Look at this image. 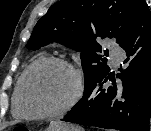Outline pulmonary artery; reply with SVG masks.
I'll return each mask as SVG.
<instances>
[{"mask_svg": "<svg viewBox=\"0 0 151 131\" xmlns=\"http://www.w3.org/2000/svg\"><path fill=\"white\" fill-rule=\"evenodd\" d=\"M112 58L114 63H119L123 59V52L118 47H112L111 49Z\"/></svg>", "mask_w": 151, "mask_h": 131, "instance_id": "obj_1", "label": "pulmonary artery"}]
</instances>
